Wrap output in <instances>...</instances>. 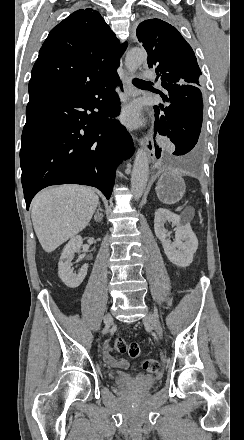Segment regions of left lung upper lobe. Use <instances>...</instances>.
Instances as JSON below:
<instances>
[{"instance_id": "left-lung-upper-lobe-1", "label": "left lung upper lobe", "mask_w": 244, "mask_h": 440, "mask_svg": "<svg viewBox=\"0 0 244 440\" xmlns=\"http://www.w3.org/2000/svg\"><path fill=\"white\" fill-rule=\"evenodd\" d=\"M148 53L149 68L164 83L198 86L202 74L191 46L180 32L160 19L140 23L136 33Z\"/></svg>"}]
</instances>
